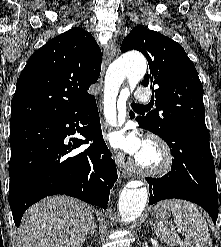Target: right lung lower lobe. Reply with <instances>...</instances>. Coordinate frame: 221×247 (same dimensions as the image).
Returning <instances> with one entry per match:
<instances>
[{"label":"right lung lower lobe","mask_w":221,"mask_h":247,"mask_svg":"<svg viewBox=\"0 0 221 247\" xmlns=\"http://www.w3.org/2000/svg\"><path fill=\"white\" fill-rule=\"evenodd\" d=\"M78 132L86 138L66 139ZM94 140L84 152L72 151ZM9 205L15 225L40 199L65 194L106 209L117 180L101 132L95 98L64 117L10 124Z\"/></svg>","instance_id":"98d812e1"}]
</instances>
